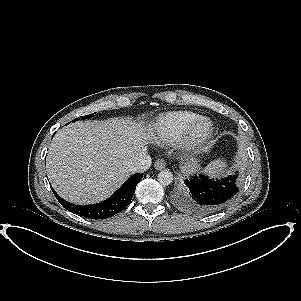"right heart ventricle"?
Returning a JSON list of instances; mask_svg holds the SVG:
<instances>
[{
  "label": "right heart ventricle",
  "mask_w": 301,
  "mask_h": 301,
  "mask_svg": "<svg viewBox=\"0 0 301 301\" xmlns=\"http://www.w3.org/2000/svg\"><path fill=\"white\" fill-rule=\"evenodd\" d=\"M199 117L200 114L187 110L162 113L152 122L151 136L159 144H171Z\"/></svg>",
  "instance_id": "right-heart-ventricle-1"
}]
</instances>
